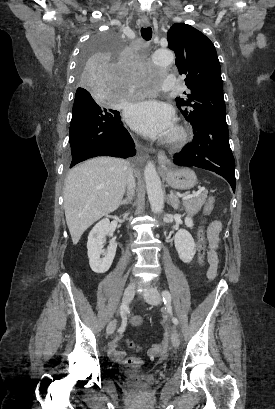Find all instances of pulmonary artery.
Instances as JSON below:
<instances>
[{"mask_svg":"<svg viewBox=\"0 0 275 409\" xmlns=\"http://www.w3.org/2000/svg\"><path fill=\"white\" fill-rule=\"evenodd\" d=\"M162 86L163 88H176L177 87V80L174 75H168L167 79H163L162 81ZM128 94H134L135 93V87L131 86L127 90Z\"/></svg>","mask_w":275,"mask_h":409,"instance_id":"obj_1","label":"pulmonary artery"}]
</instances>
